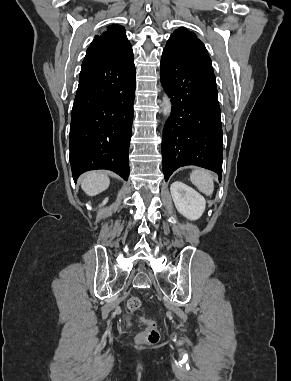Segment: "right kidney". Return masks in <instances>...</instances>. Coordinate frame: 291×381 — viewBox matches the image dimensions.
<instances>
[{"label":"right kidney","mask_w":291,"mask_h":381,"mask_svg":"<svg viewBox=\"0 0 291 381\" xmlns=\"http://www.w3.org/2000/svg\"><path fill=\"white\" fill-rule=\"evenodd\" d=\"M107 202H108V198H106V199L103 201L102 205H105Z\"/></svg>","instance_id":"right-kidney-1"}]
</instances>
